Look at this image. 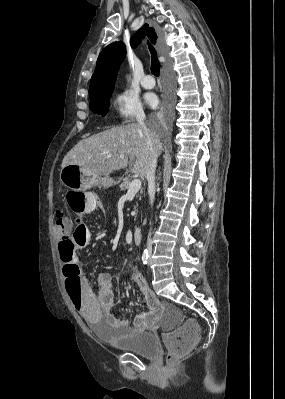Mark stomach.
Listing matches in <instances>:
<instances>
[{
  "label": "stomach",
  "instance_id": "obj_1",
  "mask_svg": "<svg viewBox=\"0 0 285 399\" xmlns=\"http://www.w3.org/2000/svg\"><path fill=\"white\" fill-rule=\"evenodd\" d=\"M60 180L62 184L74 191H86L93 186L110 187L115 181L106 177H95L78 165L69 164L61 169Z\"/></svg>",
  "mask_w": 285,
  "mask_h": 399
}]
</instances>
